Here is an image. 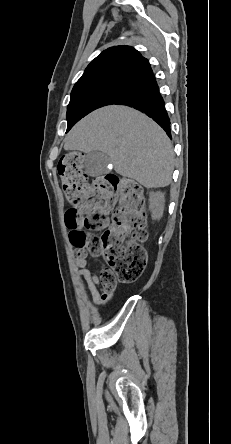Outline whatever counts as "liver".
Segmentation results:
<instances>
[{
	"mask_svg": "<svg viewBox=\"0 0 231 444\" xmlns=\"http://www.w3.org/2000/svg\"><path fill=\"white\" fill-rule=\"evenodd\" d=\"M64 142L65 150L107 154L118 174L148 189L171 183V141L156 122L133 108L110 105L97 109L80 120Z\"/></svg>",
	"mask_w": 231,
	"mask_h": 444,
	"instance_id": "6515ba94",
	"label": "liver"
}]
</instances>
